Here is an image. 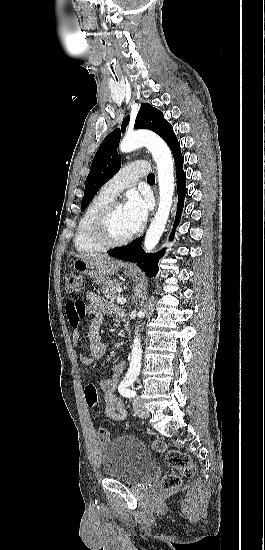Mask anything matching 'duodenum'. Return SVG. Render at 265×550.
Segmentation results:
<instances>
[{
	"label": "duodenum",
	"mask_w": 265,
	"mask_h": 550,
	"mask_svg": "<svg viewBox=\"0 0 265 550\" xmlns=\"http://www.w3.org/2000/svg\"><path fill=\"white\" fill-rule=\"evenodd\" d=\"M125 331H126V334L129 335V333H130V325H129L128 321H125Z\"/></svg>",
	"instance_id": "410a0bca"
}]
</instances>
